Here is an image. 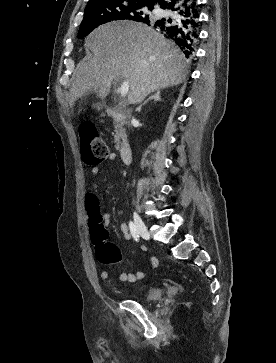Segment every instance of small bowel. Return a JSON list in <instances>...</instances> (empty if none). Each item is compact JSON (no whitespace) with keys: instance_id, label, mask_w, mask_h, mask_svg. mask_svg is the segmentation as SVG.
Masks as SVG:
<instances>
[{"instance_id":"c3829d8e","label":"small bowel","mask_w":276,"mask_h":363,"mask_svg":"<svg viewBox=\"0 0 276 363\" xmlns=\"http://www.w3.org/2000/svg\"><path fill=\"white\" fill-rule=\"evenodd\" d=\"M110 160L115 159V154H110L109 156ZM91 173L93 175H97L99 173V168L98 167H92L91 168ZM98 207V197L96 194L94 193H89L86 197V208L87 209H97ZM101 219L103 221V224L105 226H108L111 222V215L109 213H103L101 214ZM119 228L121 230V232L123 233L125 239H130L131 238V234L129 232V229L127 227V225L124 222H121L119 225ZM158 259L156 257H151L149 259V264L151 266V268H156L158 266ZM146 276V273L144 271H138V272H119L116 275V279L120 282H136L138 280L143 279ZM100 277L102 280H110L112 278L111 273L108 270H102L100 272Z\"/></svg>"}]
</instances>
